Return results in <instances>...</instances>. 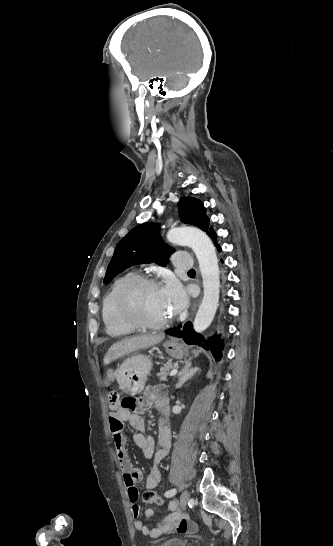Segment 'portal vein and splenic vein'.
Listing matches in <instances>:
<instances>
[{
    "mask_svg": "<svg viewBox=\"0 0 333 546\" xmlns=\"http://www.w3.org/2000/svg\"><path fill=\"white\" fill-rule=\"evenodd\" d=\"M177 372H178V369H173V370H171V372H170V376H174V375H176V374H177Z\"/></svg>",
    "mask_w": 333,
    "mask_h": 546,
    "instance_id": "obj_1",
    "label": "portal vein and splenic vein"
}]
</instances>
